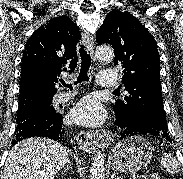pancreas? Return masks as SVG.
<instances>
[{
    "label": "pancreas",
    "instance_id": "pancreas-1",
    "mask_svg": "<svg viewBox=\"0 0 183 179\" xmlns=\"http://www.w3.org/2000/svg\"><path fill=\"white\" fill-rule=\"evenodd\" d=\"M148 179H160V177L158 175H155V176L149 177Z\"/></svg>",
    "mask_w": 183,
    "mask_h": 179
}]
</instances>
